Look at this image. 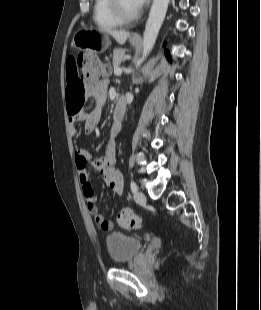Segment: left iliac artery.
Here are the masks:
<instances>
[{
    "label": "left iliac artery",
    "mask_w": 261,
    "mask_h": 310,
    "mask_svg": "<svg viewBox=\"0 0 261 310\" xmlns=\"http://www.w3.org/2000/svg\"><path fill=\"white\" fill-rule=\"evenodd\" d=\"M130 188H131V191H132L133 193H136L137 190H138V186H137V184H136L133 180H131Z\"/></svg>",
    "instance_id": "44dca946"
}]
</instances>
